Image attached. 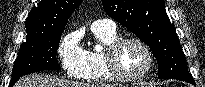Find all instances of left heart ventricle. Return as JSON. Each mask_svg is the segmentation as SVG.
I'll list each match as a JSON object with an SVG mask.
<instances>
[{"label":"left heart ventricle","mask_w":205,"mask_h":87,"mask_svg":"<svg viewBox=\"0 0 205 87\" xmlns=\"http://www.w3.org/2000/svg\"><path fill=\"white\" fill-rule=\"evenodd\" d=\"M118 64L125 74L138 75L144 70L147 57L139 45L128 43L119 52Z\"/></svg>","instance_id":"1"}]
</instances>
